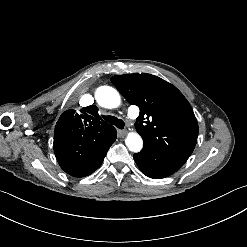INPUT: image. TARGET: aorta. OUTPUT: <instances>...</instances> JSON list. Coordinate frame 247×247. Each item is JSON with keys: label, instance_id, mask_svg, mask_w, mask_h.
Wrapping results in <instances>:
<instances>
[{"label": "aorta", "instance_id": "obj_1", "mask_svg": "<svg viewBox=\"0 0 247 247\" xmlns=\"http://www.w3.org/2000/svg\"><path fill=\"white\" fill-rule=\"evenodd\" d=\"M97 103L108 109L117 108L121 103L119 92L110 86H101L95 93ZM126 146L132 152H139L143 147V140L136 132L128 133L125 139Z\"/></svg>", "mask_w": 247, "mask_h": 247}]
</instances>
